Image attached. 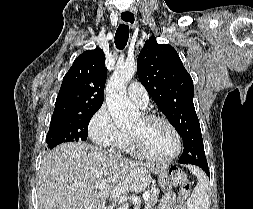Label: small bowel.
I'll return each mask as SVG.
<instances>
[{
  "mask_svg": "<svg viewBox=\"0 0 253 209\" xmlns=\"http://www.w3.org/2000/svg\"><path fill=\"white\" fill-rule=\"evenodd\" d=\"M155 209H178V207L176 206L175 194L173 192H169L164 195Z\"/></svg>",
  "mask_w": 253,
  "mask_h": 209,
  "instance_id": "c3829d8e",
  "label": "small bowel"
}]
</instances>
